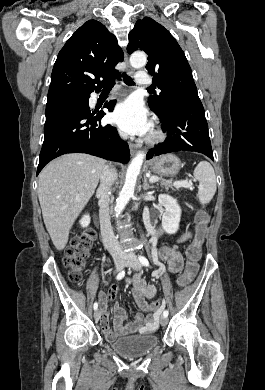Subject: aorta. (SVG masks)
<instances>
[{
    "label": "aorta",
    "mask_w": 265,
    "mask_h": 390,
    "mask_svg": "<svg viewBox=\"0 0 265 390\" xmlns=\"http://www.w3.org/2000/svg\"><path fill=\"white\" fill-rule=\"evenodd\" d=\"M147 57L143 52H135L130 57V64L133 68L139 69L146 65ZM144 152H139L131 161L127 168L126 178L123 188L116 200L115 213L116 216L123 211L128 201L134 194V189L137 181V176L140 172L141 166L144 161Z\"/></svg>",
    "instance_id": "aorta-1"
}]
</instances>
